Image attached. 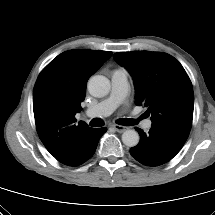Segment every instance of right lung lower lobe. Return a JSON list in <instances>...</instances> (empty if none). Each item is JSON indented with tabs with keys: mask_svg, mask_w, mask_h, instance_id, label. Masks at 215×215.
Returning <instances> with one entry per match:
<instances>
[{
	"mask_svg": "<svg viewBox=\"0 0 215 215\" xmlns=\"http://www.w3.org/2000/svg\"><path fill=\"white\" fill-rule=\"evenodd\" d=\"M107 131V128L93 129L83 140L81 150L77 158L69 166H78L90 159L97 148L100 137Z\"/></svg>",
	"mask_w": 215,
	"mask_h": 215,
	"instance_id": "right-lung-lower-lobe-1",
	"label": "right lung lower lobe"
}]
</instances>
